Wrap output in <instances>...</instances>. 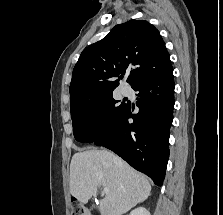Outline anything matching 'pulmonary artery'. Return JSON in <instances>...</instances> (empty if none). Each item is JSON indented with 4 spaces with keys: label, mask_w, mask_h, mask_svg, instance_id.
<instances>
[{
    "label": "pulmonary artery",
    "mask_w": 223,
    "mask_h": 215,
    "mask_svg": "<svg viewBox=\"0 0 223 215\" xmlns=\"http://www.w3.org/2000/svg\"><path fill=\"white\" fill-rule=\"evenodd\" d=\"M123 92H124V93H126V90H125V89H123Z\"/></svg>",
    "instance_id": "pulmonary-artery-1"
}]
</instances>
